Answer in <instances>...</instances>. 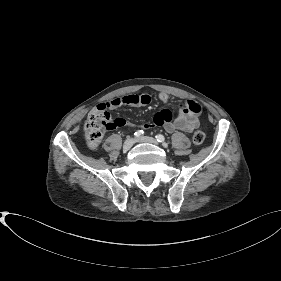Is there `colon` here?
<instances>
[{
  "mask_svg": "<svg viewBox=\"0 0 281 281\" xmlns=\"http://www.w3.org/2000/svg\"><path fill=\"white\" fill-rule=\"evenodd\" d=\"M117 127L116 119H113L106 110L95 108L89 114L84 124V134L90 149H96L101 143L105 132ZM205 140L202 131L193 133L192 141L195 145H201Z\"/></svg>",
  "mask_w": 281,
  "mask_h": 281,
  "instance_id": "obj_1",
  "label": "colon"
}]
</instances>
